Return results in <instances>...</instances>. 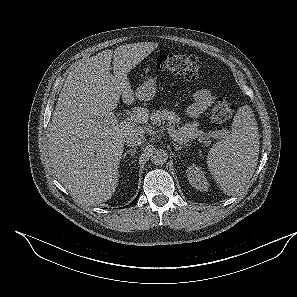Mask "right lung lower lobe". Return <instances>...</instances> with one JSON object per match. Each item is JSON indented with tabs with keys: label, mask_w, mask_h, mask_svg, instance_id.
Returning <instances> with one entry per match:
<instances>
[{
	"label": "right lung lower lobe",
	"mask_w": 297,
	"mask_h": 297,
	"mask_svg": "<svg viewBox=\"0 0 297 297\" xmlns=\"http://www.w3.org/2000/svg\"><path fill=\"white\" fill-rule=\"evenodd\" d=\"M138 197H139V196H137V197L135 198V200H134L130 205H132L133 203H135V202L137 201ZM126 207H128V206H126Z\"/></svg>",
	"instance_id": "obj_1"
}]
</instances>
